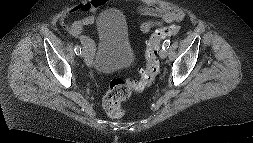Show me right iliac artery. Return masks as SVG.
Listing matches in <instances>:
<instances>
[{
	"label": "right iliac artery",
	"mask_w": 253,
	"mask_h": 143,
	"mask_svg": "<svg viewBox=\"0 0 253 143\" xmlns=\"http://www.w3.org/2000/svg\"><path fill=\"white\" fill-rule=\"evenodd\" d=\"M76 55H80L81 54V47L80 46H75V49H74Z\"/></svg>",
	"instance_id": "obj_1"
}]
</instances>
